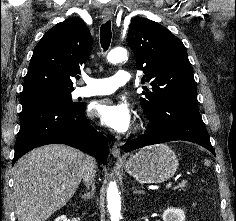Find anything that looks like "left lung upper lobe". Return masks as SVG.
<instances>
[{
  "mask_svg": "<svg viewBox=\"0 0 236 221\" xmlns=\"http://www.w3.org/2000/svg\"><path fill=\"white\" fill-rule=\"evenodd\" d=\"M128 45L134 51L137 69L145 74L142 82L152 86L140 99L145 114L168 100L197 102L186 48L169 30L149 19L136 18L129 27Z\"/></svg>",
  "mask_w": 236,
  "mask_h": 221,
  "instance_id": "obj_1",
  "label": "left lung upper lobe"
}]
</instances>
